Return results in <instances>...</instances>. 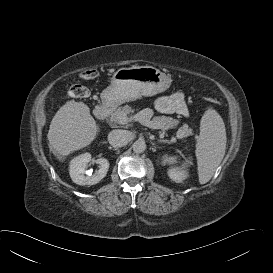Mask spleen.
Masks as SVG:
<instances>
[{
    "label": "spleen",
    "instance_id": "1",
    "mask_svg": "<svg viewBox=\"0 0 273 273\" xmlns=\"http://www.w3.org/2000/svg\"><path fill=\"white\" fill-rule=\"evenodd\" d=\"M226 129L223 119L208 107L200 121V134L196 143V159L200 184L207 183L220 165L226 150ZM177 157H165L164 164H175Z\"/></svg>",
    "mask_w": 273,
    "mask_h": 273
}]
</instances>
